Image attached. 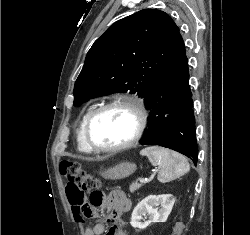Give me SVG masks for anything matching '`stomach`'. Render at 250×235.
Masks as SVG:
<instances>
[{
	"instance_id": "1",
	"label": "stomach",
	"mask_w": 250,
	"mask_h": 235,
	"mask_svg": "<svg viewBox=\"0 0 250 235\" xmlns=\"http://www.w3.org/2000/svg\"><path fill=\"white\" fill-rule=\"evenodd\" d=\"M135 170L136 165L134 163L122 162L102 172L101 176L109 180H119L133 174Z\"/></svg>"
}]
</instances>
